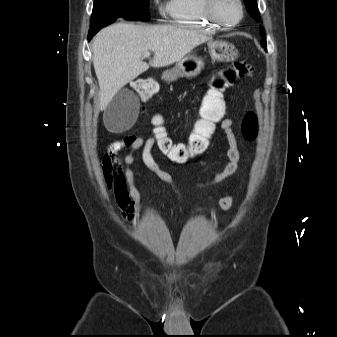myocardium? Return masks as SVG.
Returning a JSON list of instances; mask_svg holds the SVG:
<instances>
[{"instance_id": "myocardium-1", "label": "myocardium", "mask_w": 337, "mask_h": 337, "mask_svg": "<svg viewBox=\"0 0 337 337\" xmlns=\"http://www.w3.org/2000/svg\"><path fill=\"white\" fill-rule=\"evenodd\" d=\"M203 1H204V9H205L207 18L219 27L233 28V27L238 26L244 19L245 7H244V3L242 0H235L238 5L239 11H240V16L236 21H233V22L225 21L218 14L217 5L219 3V0H203Z\"/></svg>"}]
</instances>
